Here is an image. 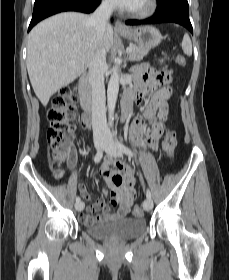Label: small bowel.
Here are the masks:
<instances>
[{"instance_id":"1","label":"small bowel","mask_w":229,"mask_h":280,"mask_svg":"<svg viewBox=\"0 0 229 280\" xmlns=\"http://www.w3.org/2000/svg\"><path fill=\"white\" fill-rule=\"evenodd\" d=\"M125 94H133V98L141 105L145 115V118H136L132 124L130 129L132 142L136 146L156 149L158 138L162 131L161 120L168 116L167 101L172 94L171 87L158 83L147 65L140 64L136 68L134 88L133 90H127ZM154 114H157V120L152 119ZM148 121L151 122V126H148ZM74 159L75 152L71 151L70 164H73ZM113 167H117L119 172L116 173ZM100 174L106 182L104 192L106 194L111 192L117 195V201L112 205H117L118 208L116 212H112L109 205L103 200L90 203L85 207V211L88 214L80 215V220L84 224L111 221L115 218L126 217L130 212L135 198L133 189L135 171L132 167L127 166L123 160L108 156L100 167ZM115 175L124 177L122 184L116 185L113 182V176ZM79 192L84 199H90V194L84 184L79 186ZM97 212H101L102 215L98 217L92 215Z\"/></svg>"}]
</instances>
